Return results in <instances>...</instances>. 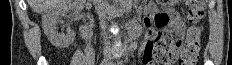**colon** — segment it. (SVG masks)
I'll list each match as a JSON object with an SVG mask.
<instances>
[{
	"label": "colon",
	"mask_w": 232,
	"mask_h": 65,
	"mask_svg": "<svg viewBox=\"0 0 232 65\" xmlns=\"http://www.w3.org/2000/svg\"><path fill=\"white\" fill-rule=\"evenodd\" d=\"M167 3L176 0L166 1ZM165 3V2H163ZM188 20L190 27L184 43L171 37H160L155 47V58L159 62L178 61L179 65H194L200 51L201 26L199 22L205 15L206 0H188Z\"/></svg>",
	"instance_id": "5ec220e1"
}]
</instances>
